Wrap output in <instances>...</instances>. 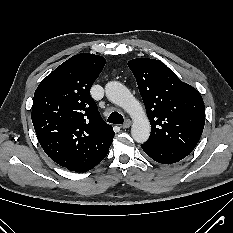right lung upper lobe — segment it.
Returning <instances> with one entry per match:
<instances>
[{
    "instance_id": "1",
    "label": "right lung upper lobe",
    "mask_w": 233,
    "mask_h": 233,
    "mask_svg": "<svg viewBox=\"0 0 233 233\" xmlns=\"http://www.w3.org/2000/svg\"><path fill=\"white\" fill-rule=\"evenodd\" d=\"M105 63L99 55L77 54L44 78L34 94L31 118L38 141L53 161L71 171L108 153L115 135L90 96Z\"/></svg>"
}]
</instances>
